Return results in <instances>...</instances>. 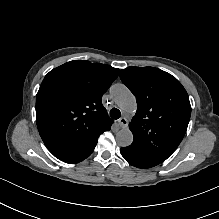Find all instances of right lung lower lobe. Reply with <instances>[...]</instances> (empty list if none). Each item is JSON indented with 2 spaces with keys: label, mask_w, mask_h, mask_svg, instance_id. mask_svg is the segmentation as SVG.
I'll return each instance as SVG.
<instances>
[{
  "label": "right lung lower lobe",
  "mask_w": 219,
  "mask_h": 219,
  "mask_svg": "<svg viewBox=\"0 0 219 219\" xmlns=\"http://www.w3.org/2000/svg\"><path fill=\"white\" fill-rule=\"evenodd\" d=\"M96 146V145H95ZM95 146L90 147L85 150L81 151H74V152H57L52 153L56 158L59 160L66 162V163H78L90 156L93 152Z\"/></svg>",
  "instance_id": "right-lung-lower-lobe-1"
}]
</instances>
